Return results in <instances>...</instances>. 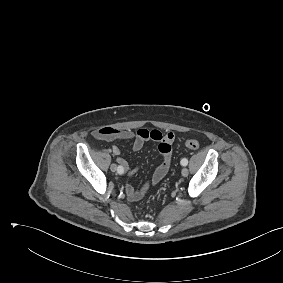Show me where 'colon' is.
<instances>
[{"instance_id": "1", "label": "colon", "mask_w": 283, "mask_h": 283, "mask_svg": "<svg viewBox=\"0 0 283 283\" xmlns=\"http://www.w3.org/2000/svg\"><path fill=\"white\" fill-rule=\"evenodd\" d=\"M184 144L187 148L192 150H197L200 147L199 142L195 139H186L184 141Z\"/></svg>"}]
</instances>
